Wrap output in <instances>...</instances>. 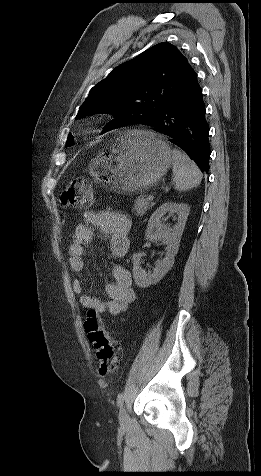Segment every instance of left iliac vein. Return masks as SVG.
<instances>
[{
	"label": "left iliac vein",
	"instance_id": "4c4485c4",
	"mask_svg": "<svg viewBox=\"0 0 261 476\" xmlns=\"http://www.w3.org/2000/svg\"><path fill=\"white\" fill-rule=\"evenodd\" d=\"M119 421L120 424L126 426L129 422V416L124 406H121L119 411Z\"/></svg>",
	"mask_w": 261,
	"mask_h": 476
}]
</instances>
